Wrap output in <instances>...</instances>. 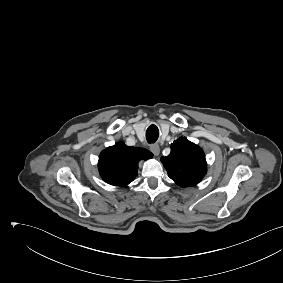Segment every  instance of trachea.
I'll return each instance as SVG.
<instances>
[{
    "mask_svg": "<svg viewBox=\"0 0 283 283\" xmlns=\"http://www.w3.org/2000/svg\"><path fill=\"white\" fill-rule=\"evenodd\" d=\"M158 129L155 126H150L146 132V139L148 143H155L158 139Z\"/></svg>",
    "mask_w": 283,
    "mask_h": 283,
    "instance_id": "3493384b",
    "label": "trachea"
}]
</instances>
